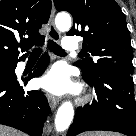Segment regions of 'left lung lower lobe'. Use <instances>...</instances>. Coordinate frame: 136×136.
I'll use <instances>...</instances> for the list:
<instances>
[{
	"mask_svg": "<svg viewBox=\"0 0 136 136\" xmlns=\"http://www.w3.org/2000/svg\"><path fill=\"white\" fill-rule=\"evenodd\" d=\"M83 78L95 87L97 100L77 109L67 136L92 130L136 136V102L132 76L116 73L95 78L83 73Z\"/></svg>",
	"mask_w": 136,
	"mask_h": 136,
	"instance_id": "left-lung-lower-lobe-1",
	"label": "left lung lower lobe"
}]
</instances>
